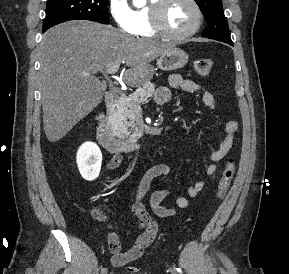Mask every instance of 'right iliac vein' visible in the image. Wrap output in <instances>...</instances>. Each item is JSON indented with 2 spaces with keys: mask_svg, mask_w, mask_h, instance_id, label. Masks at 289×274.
Masks as SVG:
<instances>
[{
  "mask_svg": "<svg viewBox=\"0 0 289 274\" xmlns=\"http://www.w3.org/2000/svg\"><path fill=\"white\" fill-rule=\"evenodd\" d=\"M108 273V270L106 269V268H103L102 270H101V274H107Z\"/></svg>",
  "mask_w": 289,
  "mask_h": 274,
  "instance_id": "right-iliac-vein-1",
  "label": "right iliac vein"
}]
</instances>
